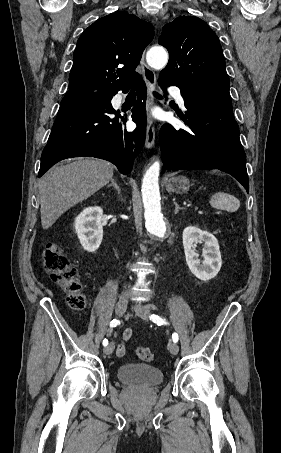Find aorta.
Here are the masks:
<instances>
[{
    "instance_id": "obj_1",
    "label": "aorta",
    "mask_w": 281,
    "mask_h": 453,
    "mask_svg": "<svg viewBox=\"0 0 281 453\" xmlns=\"http://www.w3.org/2000/svg\"><path fill=\"white\" fill-rule=\"evenodd\" d=\"M147 63L155 70H162L168 62V53L163 47H152L146 55ZM160 163L155 161L146 171L142 180V200L147 231L159 238L167 233V226L161 212L159 191Z\"/></svg>"
}]
</instances>
